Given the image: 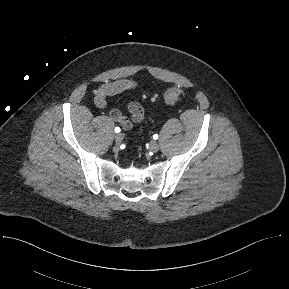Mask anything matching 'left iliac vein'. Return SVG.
<instances>
[{
	"mask_svg": "<svg viewBox=\"0 0 289 289\" xmlns=\"http://www.w3.org/2000/svg\"><path fill=\"white\" fill-rule=\"evenodd\" d=\"M149 148L152 152L156 153L159 150V145L156 141H151L149 144Z\"/></svg>",
	"mask_w": 289,
	"mask_h": 289,
	"instance_id": "1",
	"label": "left iliac vein"
}]
</instances>
